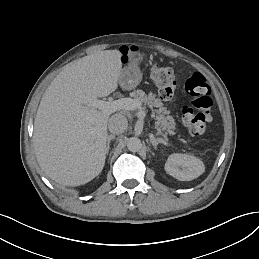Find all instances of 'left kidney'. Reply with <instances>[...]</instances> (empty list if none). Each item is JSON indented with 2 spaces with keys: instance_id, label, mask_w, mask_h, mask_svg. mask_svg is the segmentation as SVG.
Segmentation results:
<instances>
[{
  "instance_id": "obj_1",
  "label": "left kidney",
  "mask_w": 259,
  "mask_h": 259,
  "mask_svg": "<svg viewBox=\"0 0 259 259\" xmlns=\"http://www.w3.org/2000/svg\"><path fill=\"white\" fill-rule=\"evenodd\" d=\"M165 171L178 180L190 181L203 173L204 166L194 157L174 154L169 156Z\"/></svg>"
}]
</instances>
